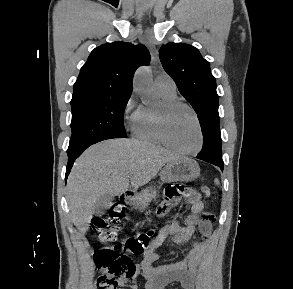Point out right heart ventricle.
<instances>
[{
	"label": "right heart ventricle",
	"mask_w": 293,
	"mask_h": 289,
	"mask_svg": "<svg viewBox=\"0 0 293 289\" xmlns=\"http://www.w3.org/2000/svg\"><path fill=\"white\" fill-rule=\"evenodd\" d=\"M158 92L163 101L175 100L177 98L176 91L158 90ZM156 111V109L150 107H141L132 126L133 134L137 139L152 144L162 143L157 132Z\"/></svg>",
	"instance_id": "1"
}]
</instances>
